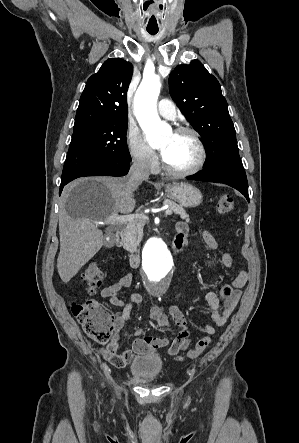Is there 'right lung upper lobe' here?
Returning <instances> with one entry per match:
<instances>
[{
    "instance_id": "1",
    "label": "right lung upper lobe",
    "mask_w": 299,
    "mask_h": 443,
    "mask_svg": "<svg viewBox=\"0 0 299 443\" xmlns=\"http://www.w3.org/2000/svg\"><path fill=\"white\" fill-rule=\"evenodd\" d=\"M133 66L121 58L106 60L81 95L74 127L106 119H127L126 94Z\"/></svg>"
}]
</instances>
